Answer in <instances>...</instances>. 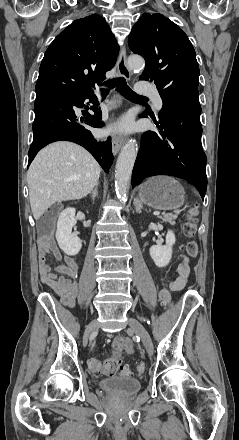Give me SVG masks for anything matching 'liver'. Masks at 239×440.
Masks as SVG:
<instances>
[{
    "mask_svg": "<svg viewBox=\"0 0 239 440\" xmlns=\"http://www.w3.org/2000/svg\"><path fill=\"white\" fill-rule=\"evenodd\" d=\"M100 170L93 156L72 142H54L43 148L27 172L34 220H40L56 202L85 198L97 186ZM70 176L81 178L69 182Z\"/></svg>",
    "mask_w": 239,
    "mask_h": 440,
    "instance_id": "obj_1",
    "label": "liver"
}]
</instances>
